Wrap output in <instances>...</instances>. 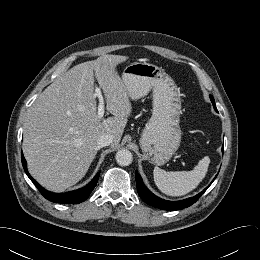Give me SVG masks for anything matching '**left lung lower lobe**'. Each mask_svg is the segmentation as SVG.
<instances>
[{"instance_id":"left-lung-lower-lobe-1","label":"left lung lower lobe","mask_w":260,"mask_h":260,"mask_svg":"<svg viewBox=\"0 0 260 260\" xmlns=\"http://www.w3.org/2000/svg\"><path fill=\"white\" fill-rule=\"evenodd\" d=\"M136 184H137V191L141 199L156 208L164 209V210H180L183 208H187L191 206L193 203H195L199 197L206 191L207 188H205L201 193L197 194L194 197H190L188 199H184L181 201H167L164 199H161L157 196H155L153 193H151L148 188L143 184L142 179L138 172L136 171ZM215 179V178H214Z\"/></svg>"}]
</instances>
